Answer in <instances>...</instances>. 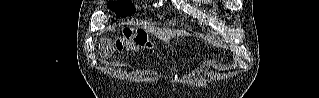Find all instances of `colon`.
<instances>
[{"mask_svg":"<svg viewBox=\"0 0 319 98\" xmlns=\"http://www.w3.org/2000/svg\"><path fill=\"white\" fill-rule=\"evenodd\" d=\"M118 50H136L142 53H149L153 45L147 33L142 29H124L122 35L116 39Z\"/></svg>","mask_w":319,"mask_h":98,"instance_id":"5ec220e1","label":"colon"}]
</instances>
